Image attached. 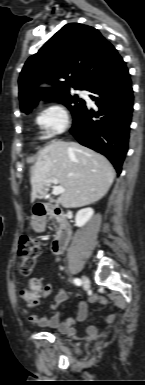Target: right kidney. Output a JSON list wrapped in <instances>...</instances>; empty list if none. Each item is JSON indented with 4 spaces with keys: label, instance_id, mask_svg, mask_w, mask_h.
Returning <instances> with one entry per match:
<instances>
[{
    "label": "right kidney",
    "instance_id": "ca27d5eb",
    "mask_svg": "<svg viewBox=\"0 0 145 385\" xmlns=\"http://www.w3.org/2000/svg\"><path fill=\"white\" fill-rule=\"evenodd\" d=\"M94 211L92 208H84L77 212L75 216L76 226L83 227L93 216Z\"/></svg>",
    "mask_w": 145,
    "mask_h": 385
}]
</instances>
